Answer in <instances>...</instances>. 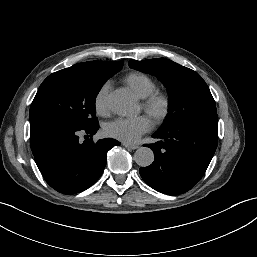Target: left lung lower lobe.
I'll return each mask as SVG.
<instances>
[{
    "label": "left lung lower lobe",
    "instance_id": "0a47b994",
    "mask_svg": "<svg viewBox=\"0 0 257 257\" xmlns=\"http://www.w3.org/2000/svg\"><path fill=\"white\" fill-rule=\"evenodd\" d=\"M160 141L146 144L154 152V162L139 169L153 189L169 195L190 190L204 175L217 147L218 118L210 112L158 130Z\"/></svg>",
    "mask_w": 257,
    "mask_h": 257
}]
</instances>
